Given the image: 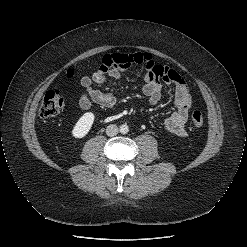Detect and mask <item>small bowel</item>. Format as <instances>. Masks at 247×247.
Wrapping results in <instances>:
<instances>
[{"mask_svg": "<svg viewBox=\"0 0 247 247\" xmlns=\"http://www.w3.org/2000/svg\"><path fill=\"white\" fill-rule=\"evenodd\" d=\"M133 66L146 68L142 93L147 96L150 104L155 105L160 101L162 82L168 86H173L176 109L164 120V126L166 130L175 135L186 136V123L191 108L190 90L177 71L156 63L152 55L147 52L105 55L100 67L94 73L82 76L80 81L86 93L80 96L79 106L87 110L94 102L105 108L114 107L116 104L115 96L110 92L94 89L93 84H104L108 77L121 81L123 73Z\"/></svg>", "mask_w": 247, "mask_h": 247, "instance_id": "small-bowel-1", "label": "small bowel"}]
</instances>
